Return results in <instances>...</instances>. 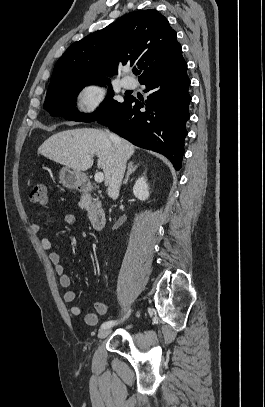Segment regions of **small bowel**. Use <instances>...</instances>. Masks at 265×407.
<instances>
[{
    "label": "small bowel",
    "mask_w": 265,
    "mask_h": 407,
    "mask_svg": "<svg viewBox=\"0 0 265 407\" xmlns=\"http://www.w3.org/2000/svg\"><path fill=\"white\" fill-rule=\"evenodd\" d=\"M64 222L71 226H77V219L73 215H67L64 218ZM58 225H52L49 232L55 231ZM31 229L35 234L41 232V225L37 222L31 225ZM41 247L44 251L48 252L49 259L55 267L56 273L59 276L60 285L66 289L63 295V299L66 303L72 304L70 307V313L73 316H80L82 314V307L76 304L77 291L72 289V279L67 273L64 264L61 261V256L56 251L52 250V242L48 235H44L40 239ZM96 313H88L85 316V323L89 326H96L99 322V315H104L109 310V304L107 302L99 301L95 304Z\"/></svg>",
    "instance_id": "1"
}]
</instances>
